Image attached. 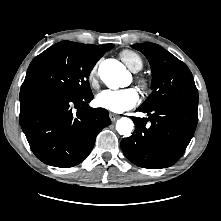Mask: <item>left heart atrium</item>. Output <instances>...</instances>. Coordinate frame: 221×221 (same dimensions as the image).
Instances as JSON below:
<instances>
[{"label":"left heart atrium","mask_w":221,"mask_h":221,"mask_svg":"<svg viewBox=\"0 0 221 221\" xmlns=\"http://www.w3.org/2000/svg\"><path fill=\"white\" fill-rule=\"evenodd\" d=\"M139 92L135 88L104 90L96 97L99 107L114 113H121L133 108L139 102Z\"/></svg>","instance_id":"1"}]
</instances>
